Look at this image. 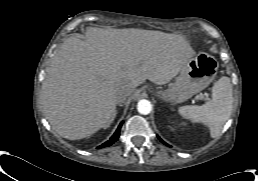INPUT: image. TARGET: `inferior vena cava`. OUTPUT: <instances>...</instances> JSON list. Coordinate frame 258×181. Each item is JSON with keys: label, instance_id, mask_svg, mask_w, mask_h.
<instances>
[{"label": "inferior vena cava", "instance_id": "602c4592", "mask_svg": "<svg viewBox=\"0 0 258 181\" xmlns=\"http://www.w3.org/2000/svg\"><path fill=\"white\" fill-rule=\"evenodd\" d=\"M128 96V92H125L118 96V103H122L125 101L126 97Z\"/></svg>", "mask_w": 258, "mask_h": 181}]
</instances>
